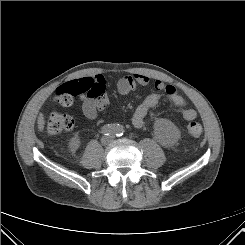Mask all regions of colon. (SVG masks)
<instances>
[{"instance_id": "colon-1", "label": "colon", "mask_w": 245, "mask_h": 245, "mask_svg": "<svg viewBox=\"0 0 245 245\" xmlns=\"http://www.w3.org/2000/svg\"><path fill=\"white\" fill-rule=\"evenodd\" d=\"M97 95L94 83L89 79L73 80L57 88L54 100L62 106H70L77 98H87ZM74 125L72 116L58 110H52L48 117L47 129L49 134L56 136L69 131ZM187 132L192 137L202 134V126L198 122H190Z\"/></svg>"}]
</instances>
